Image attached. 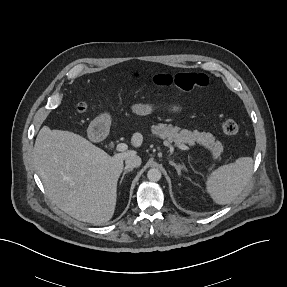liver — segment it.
I'll use <instances>...</instances> for the list:
<instances>
[{
	"label": "liver",
	"instance_id": "1",
	"mask_svg": "<svg viewBox=\"0 0 287 287\" xmlns=\"http://www.w3.org/2000/svg\"><path fill=\"white\" fill-rule=\"evenodd\" d=\"M141 135L135 134L133 146ZM134 150L108 155L86 138L44 126L34 145V163L49 199L73 218L102 225L114 214L123 161Z\"/></svg>",
	"mask_w": 287,
	"mask_h": 287
}]
</instances>
